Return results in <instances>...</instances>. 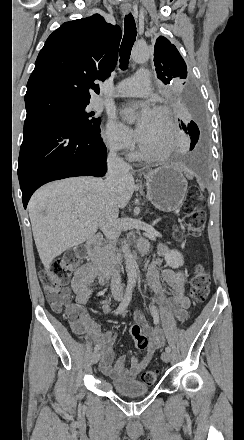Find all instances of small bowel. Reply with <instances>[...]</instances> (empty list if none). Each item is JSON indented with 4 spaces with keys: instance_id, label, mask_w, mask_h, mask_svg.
Instances as JSON below:
<instances>
[{
    "instance_id": "small-bowel-1",
    "label": "small bowel",
    "mask_w": 244,
    "mask_h": 440,
    "mask_svg": "<svg viewBox=\"0 0 244 440\" xmlns=\"http://www.w3.org/2000/svg\"><path fill=\"white\" fill-rule=\"evenodd\" d=\"M168 252L169 248L166 245H159V257L149 266L147 270V281L157 296L163 314L166 316L174 314L179 321L185 322L188 319L187 309L190 307V300L185 293V275L183 271L172 268H165L160 271L163 257ZM109 279L108 273L92 263L79 267L72 279L75 303H78L80 307L90 303L92 286L95 284L105 286L108 284ZM161 280L168 288L162 285ZM98 305L103 314L109 311V303L106 300L100 301ZM90 322V327H87L88 337L83 339L96 340V345L100 346L101 351L99 368L105 376L114 381H130L135 379L151 363L156 353L165 344V336L161 328L149 325L141 315H138L136 323H142V332L148 333L150 337V347L140 348L146 350L145 357L140 360L135 356L129 357L127 355H121L114 362L115 354L113 345L115 331L113 329L102 331L91 318ZM128 361L130 362L129 366H127Z\"/></svg>"
}]
</instances>
